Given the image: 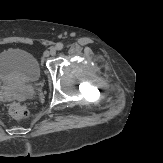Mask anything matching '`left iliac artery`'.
<instances>
[{
  "mask_svg": "<svg viewBox=\"0 0 163 163\" xmlns=\"http://www.w3.org/2000/svg\"><path fill=\"white\" fill-rule=\"evenodd\" d=\"M63 47H64V45H63L62 43H57V44H56V49H57V50H62Z\"/></svg>",
  "mask_w": 163,
  "mask_h": 163,
  "instance_id": "left-iliac-artery-1",
  "label": "left iliac artery"
}]
</instances>
